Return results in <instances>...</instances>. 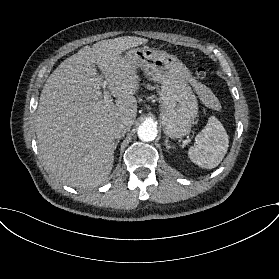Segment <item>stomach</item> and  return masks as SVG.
<instances>
[{"label":"stomach","mask_w":279,"mask_h":279,"mask_svg":"<svg viewBox=\"0 0 279 279\" xmlns=\"http://www.w3.org/2000/svg\"><path fill=\"white\" fill-rule=\"evenodd\" d=\"M138 67L161 84L160 122L169 139L188 135L198 115L197 98L190 87L191 72L175 55L144 46L129 52Z\"/></svg>","instance_id":"obj_1"}]
</instances>
